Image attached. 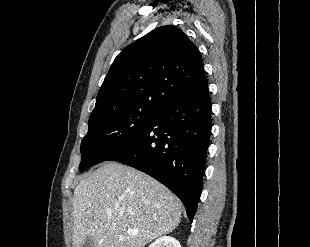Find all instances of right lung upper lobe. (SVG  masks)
<instances>
[{"instance_id":"1","label":"right lung upper lobe","mask_w":310,"mask_h":247,"mask_svg":"<svg viewBox=\"0 0 310 247\" xmlns=\"http://www.w3.org/2000/svg\"><path fill=\"white\" fill-rule=\"evenodd\" d=\"M206 83L198 48L181 29L161 26L115 58L90 118L127 108L158 110Z\"/></svg>"}]
</instances>
